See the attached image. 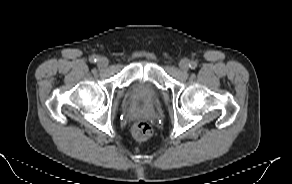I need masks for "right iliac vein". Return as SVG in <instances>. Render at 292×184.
I'll use <instances>...</instances> for the list:
<instances>
[{
    "instance_id": "right-iliac-vein-1",
    "label": "right iliac vein",
    "mask_w": 292,
    "mask_h": 184,
    "mask_svg": "<svg viewBox=\"0 0 292 184\" xmlns=\"http://www.w3.org/2000/svg\"><path fill=\"white\" fill-rule=\"evenodd\" d=\"M108 64H109V61L106 57H101L98 59V65L100 67H106V66H108Z\"/></svg>"
}]
</instances>
